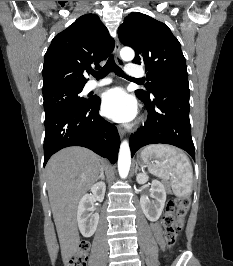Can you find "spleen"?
<instances>
[{
    "label": "spleen",
    "instance_id": "spleen-1",
    "mask_svg": "<svg viewBox=\"0 0 233 266\" xmlns=\"http://www.w3.org/2000/svg\"><path fill=\"white\" fill-rule=\"evenodd\" d=\"M154 155L155 164L149 166L150 172L167 181L176 196H188L192 192L193 169L188 157L179 149L163 144L149 145L141 153Z\"/></svg>",
    "mask_w": 233,
    "mask_h": 266
}]
</instances>
